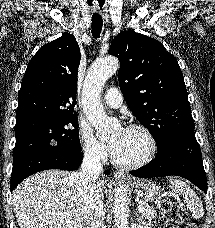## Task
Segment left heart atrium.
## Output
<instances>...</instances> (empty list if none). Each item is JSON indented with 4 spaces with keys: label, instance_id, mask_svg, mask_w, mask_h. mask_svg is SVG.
<instances>
[{
    "label": "left heart atrium",
    "instance_id": "left-heart-atrium-1",
    "mask_svg": "<svg viewBox=\"0 0 215 228\" xmlns=\"http://www.w3.org/2000/svg\"><path fill=\"white\" fill-rule=\"evenodd\" d=\"M122 141H123V134H120L111 142L110 148L112 152H115L116 150H118Z\"/></svg>",
    "mask_w": 215,
    "mask_h": 228
}]
</instances>
